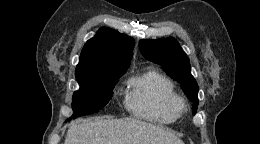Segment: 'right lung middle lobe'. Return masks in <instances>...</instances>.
Instances as JSON below:
<instances>
[{
	"mask_svg": "<svg viewBox=\"0 0 260 144\" xmlns=\"http://www.w3.org/2000/svg\"><path fill=\"white\" fill-rule=\"evenodd\" d=\"M125 72L126 70L76 76L80 89L73 94V115L70 119L95 113L105 107L112 97L114 86Z\"/></svg>",
	"mask_w": 260,
	"mask_h": 144,
	"instance_id": "obj_1",
	"label": "right lung middle lobe"
}]
</instances>
